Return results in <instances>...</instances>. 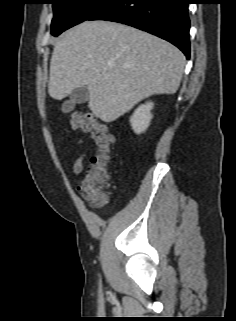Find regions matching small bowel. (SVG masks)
I'll return each mask as SVG.
<instances>
[{
	"label": "small bowel",
	"instance_id": "obj_1",
	"mask_svg": "<svg viewBox=\"0 0 236 321\" xmlns=\"http://www.w3.org/2000/svg\"><path fill=\"white\" fill-rule=\"evenodd\" d=\"M84 159H85V155H84V154H81V155L76 159V161L74 162L73 172H74L75 174H79V173L82 172Z\"/></svg>",
	"mask_w": 236,
	"mask_h": 321
}]
</instances>
